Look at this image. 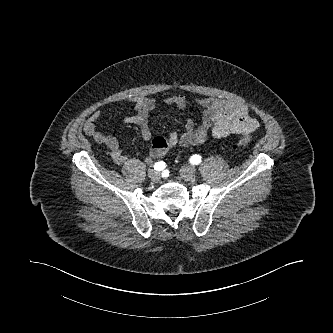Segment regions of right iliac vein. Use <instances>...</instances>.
<instances>
[{
    "label": "right iliac vein",
    "instance_id": "obj_1",
    "mask_svg": "<svg viewBox=\"0 0 333 333\" xmlns=\"http://www.w3.org/2000/svg\"><path fill=\"white\" fill-rule=\"evenodd\" d=\"M148 177L152 181L156 182L160 179V172L155 169H150V170H148Z\"/></svg>",
    "mask_w": 333,
    "mask_h": 333
}]
</instances>
